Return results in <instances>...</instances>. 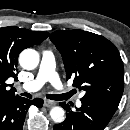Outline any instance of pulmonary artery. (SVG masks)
<instances>
[{
    "label": "pulmonary artery",
    "instance_id": "e3ab8cb5",
    "mask_svg": "<svg viewBox=\"0 0 130 130\" xmlns=\"http://www.w3.org/2000/svg\"><path fill=\"white\" fill-rule=\"evenodd\" d=\"M46 82H50L57 90L65 89V86L55 71V56L51 50H44L42 52V59L36 77L23 84L22 89L29 92H35ZM76 104L77 106H80V100H77Z\"/></svg>",
    "mask_w": 130,
    "mask_h": 130
}]
</instances>
